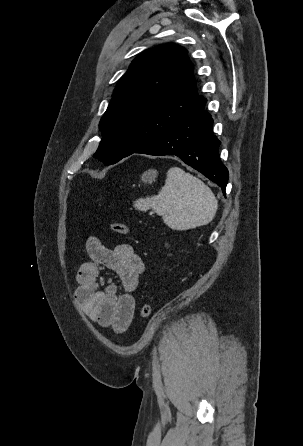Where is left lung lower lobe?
Wrapping results in <instances>:
<instances>
[{"mask_svg": "<svg viewBox=\"0 0 303 446\" xmlns=\"http://www.w3.org/2000/svg\"><path fill=\"white\" fill-rule=\"evenodd\" d=\"M205 103L201 96L169 133L134 153L176 155L220 186L225 195L228 170L220 160L221 142L212 133L213 119L206 113Z\"/></svg>", "mask_w": 303, "mask_h": 446, "instance_id": "1", "label": "left lung lower lobe"}]
</instances>
